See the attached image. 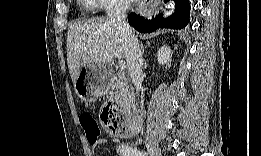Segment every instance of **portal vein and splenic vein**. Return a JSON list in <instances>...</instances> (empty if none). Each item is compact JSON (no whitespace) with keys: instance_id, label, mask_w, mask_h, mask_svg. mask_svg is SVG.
<instances>
[{"instance_id":"18ae733b","label":"portal vein and splenic vein","mask_w":261,"mask_h":156,"mask_svg":"<svg viewBox=\"0 0 261 156\" xmlns=\"http://www.w3.org/2000/svg\"><path fill=\"white\" fill-rule=\"evenodd\" d=\"M118 66L121 70H124L126 68V63L124 60H119L118 61Z\"/></svg>"}]
</instances>
